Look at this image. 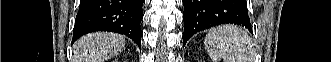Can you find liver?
<instances>
[{
	"instance_id": "liver-1",
	"label": "liver",
	"mask_w": 331,
	"mask_h": 62,
	"mask_svg": "<svg viewBox=\"0 0 331 62\" xmlns=\"http://www.w3.org/2000/svg\"><path fill=\"white\" fill-rule=\"evenodd\" d=\"M125 38L119 34L96 32L78 39L73 45L74 62H104L121 53Z\"/></svg>"
}]
</instances>
